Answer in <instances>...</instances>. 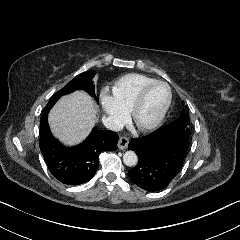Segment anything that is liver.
Listing matches in <instances>:
<instances>
[{
    "label": "liver",
    "mask_w": 240,
    "mask_h": 240,
    "mask_svg": "<svg viewBox=\"0 0 240 240\" xmlns=\"http://www.w3.org/2000/svg\"><path fill=\"white\" fill-rule=\"evenodd\" d=\"M98 109L84 91L61 97L49 114L52 133L65 145L84 140L97 121Z\"/></svg>",
    "instance_id": "1"
}]
</instances>
